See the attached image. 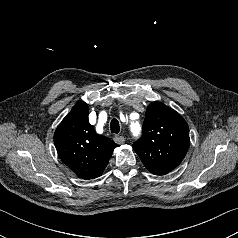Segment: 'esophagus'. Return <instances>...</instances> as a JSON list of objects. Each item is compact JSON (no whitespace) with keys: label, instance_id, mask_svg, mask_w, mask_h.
Returning <instances> with one entry per match:
<instances>
[{"label":"esophagus","instance_id":"1","mask_svg":"<svg viewBox=\"0 0 238 238\" xmlns=\"http://www.w3.org/2000/svg\"><path fill=\"white\" fill-rule=\"evenodd\" d=\"M114 141L117 143V144H123L125 142V138L124 136L122 135H116L114 137Z\"/></svg>","mask_w":238,"mask_h":238}]
</instances>
